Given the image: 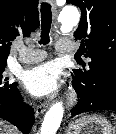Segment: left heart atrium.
<instances>
[{"mask_svg": "<svg viewBox=\"0 0 116 134\" xmlns=\"http://www.w3.org/2000/svg\"><path fill=\"white\" fill-rule=\"evenodd\" d=\"M26 90L36 97L49 96L59 89V73L51 63L37 66L24 75Z\"/></svg>", "mask_w": 116, "mask_h": 134, "instance_id": "39dd6f15", "label": "left heart atrium"}]
</instances>
